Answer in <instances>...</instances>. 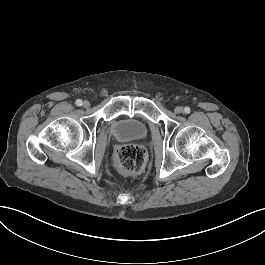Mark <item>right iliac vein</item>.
I'll list each match as a JSON object with an SVG mask.
<instances>
[{
    "instance_id": "1",
    "label": "right iliac vein",
    "mask_w": 265,
    "mask_h": 265,
    "mask_svg": "<svg viewBox=\"0 0 265 265\" xmlns=\"http://www.w3.org/2000/svg\"><path fill=\"white\" fill-rule=\"evenodd\" d=\"M89 106H90L89 101H84L83 102V107L88 108Z\"/></svg>"
}]
</instances>
